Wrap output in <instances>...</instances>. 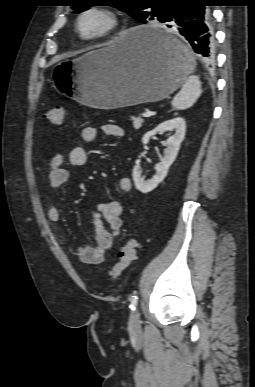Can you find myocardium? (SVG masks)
<instances>
[{"label":"myocardium","mask_w":255,"mask_h":387,"mask_svg":"<svg viewBox=\"0 0 255 387\" xmlns=\"http://www.w3.org/2000/svg\"><path fill=\"white\" fill-rule=\"evenodd\" d=\"M90 15L99 17L102 20V25L92 33H85L82 22ZM119 24L120 18L114 10L101 6H89L78 13L75 20V31L80 39L93 41L109 35L118 28Z\"/></svg>","instance_id":"f54148a6"}]
</instances>
